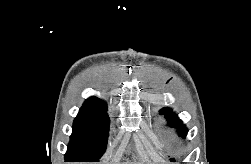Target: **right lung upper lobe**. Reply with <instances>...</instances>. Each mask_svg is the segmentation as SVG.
<instances>
[{
  "label": "right lung upper lobe",
  "instance_id": "obj_1",
  "mask_svg": "<svg viewBox=\"0 0 251 164\" xmlns=\"http://www.w3.org/2000/svg\"><path fill=\"white\" fill-rule=\"evenodd\" d=\"M84 106L88 107H95V108H107L106 103L97 98V97H90L84 102Z\"/></svg>",
  "mask_w": 251,
  "mask_h": 164
}]
</instances>
